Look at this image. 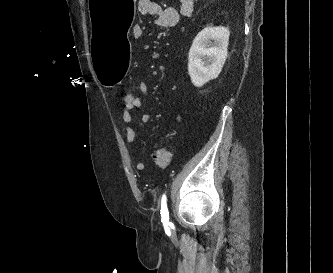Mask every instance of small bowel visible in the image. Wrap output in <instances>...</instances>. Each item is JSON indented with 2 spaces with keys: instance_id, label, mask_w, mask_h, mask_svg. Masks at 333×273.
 Returning a JSON list of instances; mask_svg holds the SVG:
<instances>
[{
  "instance_id": "1",
  "label": "small bowel",
  "mask_w": 333,
  "mask_h": 273,
  "mask_svg": "<svg viewBox=\"0 0 333 273\" xmlns=\"http://www.w3.org/2000/svg\"><path fill=\"white\" fill-rule=\"evenodd\" d=\"M139 14L143 16H152L155 18V23L160 28H172L175 27L180 19V16L174 8H164L159 3L153 0H139L137 6ZM132 34L136 39L143 36L144 30L142 25L135 24L132 29ZM139 91L141 96H136L135 94V105L134 109H140L144 106V97L148 94L149 87L145 82L139 84ZM133 94V93H126ZM134 109H123L122 120L123 128L125 132V138L128 143H132L135 139L136 133L133 128V123L136 121L140 124H146L150 121L151 115L149 113H144L138 117H134ZM135 169L137 171H143L145 169V164L142 161H137L135 163Z\"/></svg>"
}]
</instances>
